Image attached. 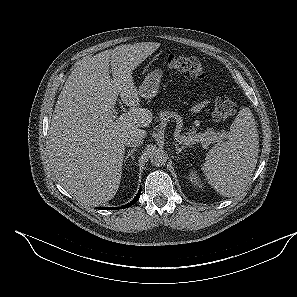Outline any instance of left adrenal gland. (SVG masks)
Here are the masks:
<instances>
[{
    "label": "left adrenal gland",
    "instance_id": "a2214340",
    "mask_svg": "<svg viewBox=\"0 0 297 297\" xmlns=\"http://www.w3.org/2000/svg\"><path fill=\"white\" fill-rule=\"evenodd\" d=\"M175 148H176V154H180L185 148H187L188 146H181L179 147V145L177 143H174Z\"/></svg>",
    "mask_w": 297,
    "mask_h": 297
}]
</instances>
